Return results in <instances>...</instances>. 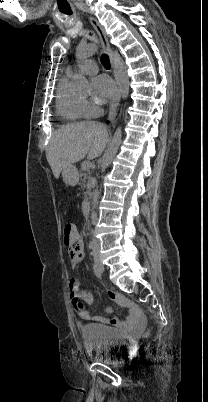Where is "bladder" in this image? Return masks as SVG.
Masks as SVG:
<instances>
[{"label": "bladder", "mask_w": 208, "mask_h": 402, "mask_svg": "<svg viewBox=\"0 0 208 402\" xmlns=\"http://www.w3.org/2000/svg\"><path fill=\"white\" fill-rule=\"evenodd\" d=\"M82 337L87 353L103 363L116 362L114 356L122 351L125 338L108 324L82 326Z\"/></svg>", "instance_id": "obj_1"}]
</instances>
